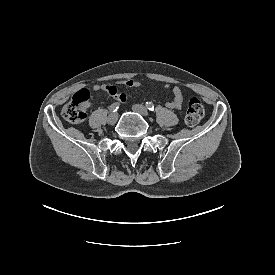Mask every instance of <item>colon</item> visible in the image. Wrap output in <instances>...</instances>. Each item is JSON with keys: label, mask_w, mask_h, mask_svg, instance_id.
<instances>
[{"label": "colon", "mask_w": 275, "mask_h": 275, "mask_svg": "<svg viewBox=\"0 0 275 275\" xmlns=\"http://www.w3.org/2000/svg\"><path fill=\"white\" fill-rule=\"evenodd\" d=\"M89 91L86 89L76 92L72 99L67 102L62 109V116L71 123H81L86 118V108L89 101ZM205 109L201 101L192 98L189 101L185 113V122L188 126L198 124L203 118Z\"/></svg>", "instance_id": "1"}]
</instances>
